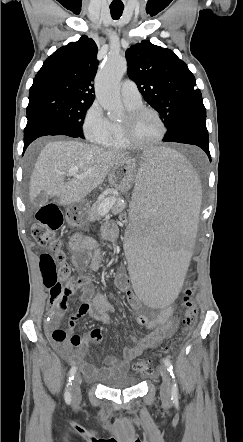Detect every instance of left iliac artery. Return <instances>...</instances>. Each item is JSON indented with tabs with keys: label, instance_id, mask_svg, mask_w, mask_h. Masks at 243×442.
<instances>
[{
	"label": "left iliac artery",
	"instance_id": "obj_1",
	"mask_svg": "<svg viewBox=\"0 0 243 442\" xmlns=\"http://www.w3.org/2000/svg\"><path fill=\"white\" fill-rule=\"evenodd\" d=\"M163 362H164V365L167 368L168 372L172 376V378H175L174 368H173V365L170 362V360L164 359ZM171 393H172V399L177 400L178 399V386H177V383L175 382V380H174V383L172 385Z\"/></svg>",
	"mask_w": 243,
	"mask_h": 442
}]
</instances>
